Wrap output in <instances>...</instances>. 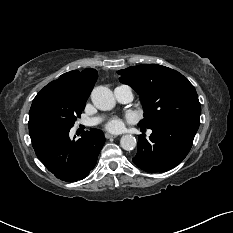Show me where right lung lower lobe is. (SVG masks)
I'll return each instance as SVG.
<instances>
[{"instance_id":"obj_1","label":"right lung lower lobe","mask_w":233,"mask_h":233,"mask_svg":"<svg viewBox=\"0 0 233 233\" xmlns=\"http://www.w3.org/2000/svg\"><path fill=\"white\" fill-rule=\"evenodd\" d=\"M70 129L53 125L29 128L38 159L57 178L67 182L88 176L105 143L104 134L98 129L86 131L77 141L70 139Z\"/></svg>"}]
</instances>
